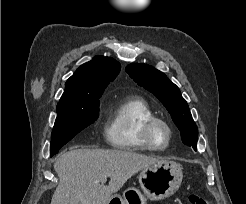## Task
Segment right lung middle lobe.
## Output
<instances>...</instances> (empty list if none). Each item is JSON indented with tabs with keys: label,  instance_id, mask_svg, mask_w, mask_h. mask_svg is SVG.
I'll return each mask as SVG.
<instances>
[{
	"label": "right lung middle lobe",
	"instance_id": "obj_1",
	"mask_svg": "<svg viewBox=\"0 0 246 204\" xmlns=\"http://www.w3.org/2000/svg\"><path fill=\"white\" fill-rule=\"evenodd\" d=\"M99 96L58 103L57 118L51 134V156L81 130L94 123L99 116Z\"/></svg>",
	"mask_w": 246,
	"mask_h": 204
}]
</instances>
